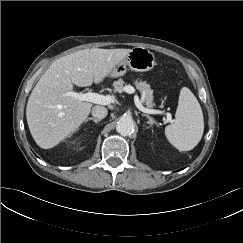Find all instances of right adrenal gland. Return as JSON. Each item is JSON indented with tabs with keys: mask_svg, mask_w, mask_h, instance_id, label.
I'll return each mask as SVG.
<instances>
[{
	"mask_svg": "<svg viewBox=\"0 0 243 243\" xmlns=\"http://www.w3.org/2000/svg\"><path fill=\"white\" fill-rule=\"evenodd\" d=\"M89 120H92L94 123H98L100 121V119H95V118H92V117H88L85 122L89 121Z\"/></svg>",
	"mask_w": 243,
	"mask_h": 243,
	"instance_id": "2a0ac1e0",
	"label": "right adrenal gland"
}]
</instances>
